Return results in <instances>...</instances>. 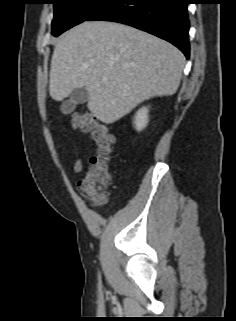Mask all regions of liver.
<instances>
[{
	"mask_svg": "<svg viewBox=\"0 0 236 321\" xmlns=\"http://www.w3.org/2000/svg\"><path fill=\"white\" fill-rule=\"evenodd\" d=\"M185 65L171 43L115 22L85 21L55 45L49 94L62 101L81 87L88 109L110 124L144 100L176 93Z\"/></svg>",
	"mask_w": 236,
	"mask_h": 321,
	"instance_id": "6515ba94",
	"label": "liver"
}]
</instances>
